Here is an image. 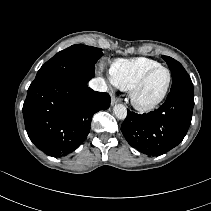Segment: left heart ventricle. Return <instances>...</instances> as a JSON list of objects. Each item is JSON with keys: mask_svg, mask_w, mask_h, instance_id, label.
Wrapping results in <instances>:
<instances>
[{"mask_svg": "<svg viewBox=\"0 0 211 211\" xmlns=\"http://www.w3.org/2000/svg\"><path fill=\"white\" fill-rule=\"evenodd\" d=\"M167 80L168 74L164 69H159L152 73L141 92V100L143 102H151L159 97L166 86Z\"/></svg>", "mask_w": 211, "mask_h": 211, "instance_id": "obj_1", "label": "left heart ventricle"}]
</instances>
